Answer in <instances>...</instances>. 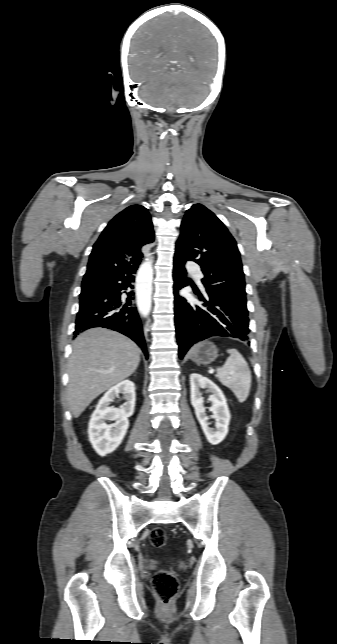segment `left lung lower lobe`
I'll return each mask as SVG.
<instances>
[{"mask_svg": "<svg viewBox=\"0 0 337 644\" xmlns=\"http://www.w3.org/2000/svg\"><path fill=\"white\" fill-rule=\"evenodd\" d=\"M184 262L174 257L175 326L182 359L189 348L213 336L238 338L249 343V318L227 298L205 288L195 291L200 303H189L178 291L187 286Z\"/></svg>", "mask_w": 337, "mask_h": 644, "instance_id": "left-lung-lower-lobe-1", "label": "left lung lower lobe"}]
</instances>
